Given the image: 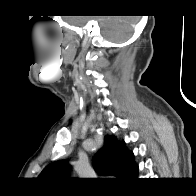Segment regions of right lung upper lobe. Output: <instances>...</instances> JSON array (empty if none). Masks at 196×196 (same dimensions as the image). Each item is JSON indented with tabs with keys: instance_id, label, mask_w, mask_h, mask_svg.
Returning <instances> with one entry per match:
<instances>
[{
	"instance_id": "right-lung-upper-lobe-1",
	"label": "right lung upper lobe",
	"mask_w": 196,
	"mask_h": 196,
	"mask_svg": "<svg viewBox=\"0 0 196 196\" xmlns=\"http://www.w3.org/2000/svg\"><path fill=\"white\" fill-rule=\"evenodd\" d=\"M94 166L99 174L120 179L134 177L138 171L133 153L126 149L124 142L111 135L105 136L104 147L94 157ZM70 169L66 161H56L48 165L39 178L55 184L65 179Z\"/></svg>"
}]
</instances>
